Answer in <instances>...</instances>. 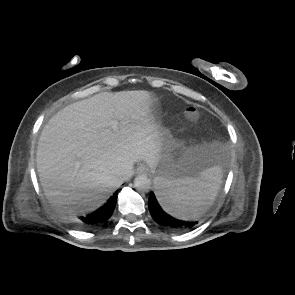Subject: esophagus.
I'll return each instance as SVG.
<instances>
[{
	"instance_id": "esophagus-1",
	"label": "esophagus",
	"mask_w": 295,
	"mask_h": 295,
	"mask_svg": "<svg viewBox=\"0 0 295 295\" xmlns=\"http://www.w3.org/2000/svg\"><path fill=\"white\" fill-rule=\"evenodd\" d=\"M136 171H137L138 174H147L148 173V168H147V166L141 164V165H139L137 167Z\"/></svg>"
}]
</instances>
